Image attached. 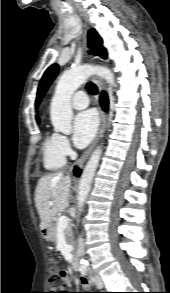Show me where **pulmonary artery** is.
Wrapping results in <instances>:
<instances>
[{"mask_svg":"<svg viewBox=\"0 0 170 293\" xmlns=\"http://www.w3.org/2000/svg\"><path fill=\"white\" fill-rule=\"evenodd\" d=\"M71 104L78 110L88 107L89 100L86 93L83 91H77L72 97Z\"/></svg>","mask_w":170,"mask_h":293,"instance_id":"e3ab8cb5","label":"pulmonary artery"}]
</instances>
